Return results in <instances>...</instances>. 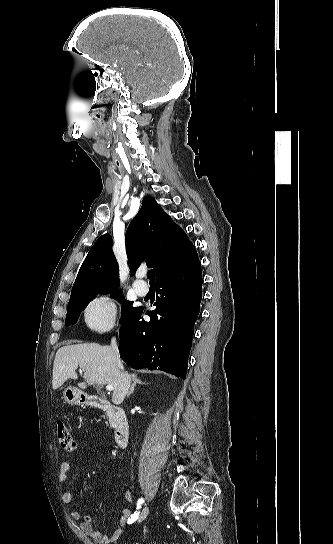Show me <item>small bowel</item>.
I'll use <instances>...</instances> for the list:
<instances>
[{"instance_id": "1", "label": "small bowel", "mask_w": 333, "mask_h": 544, "mask_svg": "<svg viewBox=\"0 0 333 544\" xmlns=\"http://www.w3.org/2000/svg\"><path fill=\"white\" fill-rule=\"evenodd\" d=\"M71 469V464L68 461H63L60 464L58 480L61 485H64L68 478V473ZM119 474L121 471L119 470ZM125 499L127 502L133 501V493L127 491L125 493ZM62 501L65 504H71L73 502L72 493L69 490H63L62 492ZM71 518L75 521L82 520L80 523V529L92 538L97 543H110L119 538L121 535L123 527L128 523L129 518H131V510L128 507L122 509L121 516L119 518L118 527L111 534H104L101 531L97 530L94 526V519L90 515H82L80 511H73L70 514Z\"/></svg>"}]
</instances>
